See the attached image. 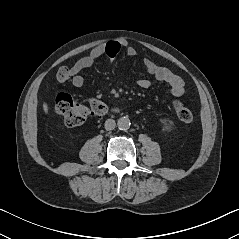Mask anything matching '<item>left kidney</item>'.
Masks as SVG:
<instances>
[{
  "instance_id": "5707ae66",
  "label": "left kidney",
  "mask_w": 239,
  "mask_h": 239,
  "mask_svg": "<svg viewBox=\"0 0 239 239\" xmlns=\"http://www.w3.org/2000/svg\"><path fill=\"white\" fill-rule=\"evenodd\" d=\"M164 131H171L173 129V122L168 119H161Z\"/></svg>"
}]
</instances>
